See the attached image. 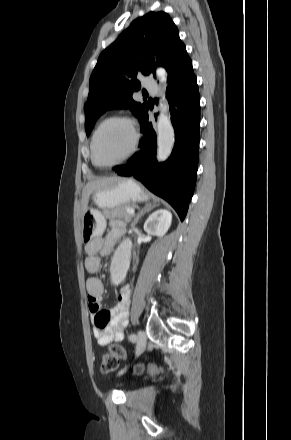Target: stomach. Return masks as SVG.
Returning <instances> with one entry per match:
<instances>
[{"mask_svg":"<svg viewBox=\"0 0 291 440\" xmlns=\"http://www.w3.org/2000/svg\"><path fill=\"white\" fill-rule=\"evenodd\" d=\"M147 195L132 179L120 178L111 186L91 193V201L99 209H112L132 202L147 200ZM96 208H88L82 217V240L88 242L101 235L106 226L102 213Z\"/></svg>","mask_w":291,"mask_h":440,"instance_id":"obj_1","label":"stomach"}]
</instances>
